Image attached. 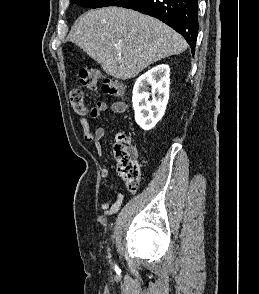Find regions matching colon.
<instances>
[{
    "instance_id": "1",
    "label": "colon",
    "mask_w": 259,
    "mask_h": 294,
    "mask_svg": "<svg viewBox=\"0 0 259 294\" xmlns=\"http://www.w3.org/2000/svg\"><path fill=\"white\" fill-rule=\"evenodd\" d=\"M80 85L88 90H95L101 82L105 94L121 97L124 94L123 85L116 79L103 76L99 71L92 68H84L79 72ZM69 99L72 109L79 115L90 113L85 95L80 87H73L69 92ZM127 139L124 135L119 137L115 146V157L118 163L120 176L126 183L129 190H136L140 182V167L134 158L132 150L126 145Z\"/></svg>"
}]
</instances>
